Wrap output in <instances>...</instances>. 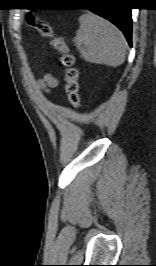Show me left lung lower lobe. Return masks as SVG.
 Here are the masks:
<instances>
[{"label":"left lung lower lobe","instance_id":"left-lung-lower-lobe-1","mask_svg":"<svg viewBox=\"0 0 156 266\" xmlns=\"http://www.w3.org/2000/svg\"><path fill=\"white\" fill-rule=\"evenodd\" d=\"M110 2L111 0H92L89 3L94 5L87 9L106 18L116 25L124 33L129 45H131V9L123 7H111Z\"/></svg>","mask_w":156,"mask_h":266}]
</instances>
